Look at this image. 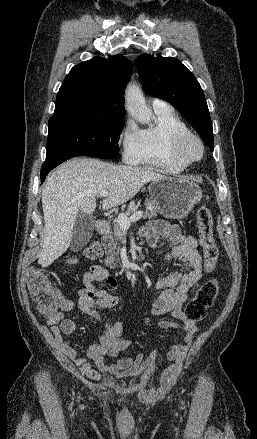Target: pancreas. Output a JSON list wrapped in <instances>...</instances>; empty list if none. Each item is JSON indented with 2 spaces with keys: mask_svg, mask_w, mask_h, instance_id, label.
<instances>
[{
  "mask_svg": "<svg viewBox=\"0 0 257 439\" xmlns=\"http://www.w3.org/2000/svg\"><path fill=\"white\" fill-rule=\"evenodd\" d=\"M147 210L143 215V218H153L160 213L159 206L153 200H146ZM136 212V206L130 205L127 211L124 213L125 216H130L132 213ZM113 229L111 232L103 236L102 240L104 241V248L106 250L107 258L105 260V264L108 267H115L116 264L120 261L119 253L121 250L120 245L124 242L126 231L124 228L120 227L117 219L112 222Z\"/></svg>",
  "mask_w": 257,
  "mask_h": 439,
  "instance_id": "cf45deb5",
  "label": "pancreas"
}]
</instances>
